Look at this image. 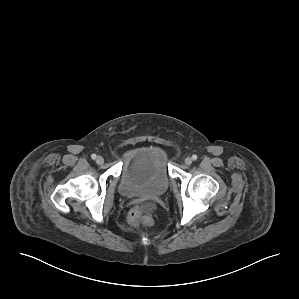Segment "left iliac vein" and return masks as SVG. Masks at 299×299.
Returning a JSON list of instances; mask_svg holds the SVG:
<instances>
[{
  "label": "left iliac vein",
  "instance_id": "1",
  "mask_svg": "<svg viewBox=\"0 0 299 299\" xmlns=\"http://www.w3.org/2000/svg\"><path fill=\"white\" fill-rule=\"evenodd\" d=\"M185 164H186V165H191V164H192V158H191V157H187V158L185 159Z\"/></svg>",
  "mask_w": 299,
  "mask_h": 299
}]
</instances>
